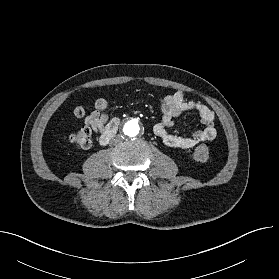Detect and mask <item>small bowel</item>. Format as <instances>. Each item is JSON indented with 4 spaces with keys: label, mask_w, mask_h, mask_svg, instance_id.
I'll return each mask as SVG.
<instances>
[{
    "label": "small bowel",
    "mask_w": 279,
    "mask_h": 279,
    "mask_svg": "<svg viewBox=\"0 0 279 279\" xmlns=\"http://www.w3.org/2000/svg\"><path fill=\"white\" fill-rule=\"evenodd\" d=\"M107 109V100L99 98L95 101L93 111L85 118L86 126L101 136L112 121L109 122ZM161 111L162 117L154 125V133L168 147L191 149L200 143L212 141L216 137L213 111L199 101L187 100L183 91L178 90L166 95L161 102ZM188 111L197 112L204 127L189 136L172 133L170 129L174 124V119Z\"/></svg>",
    "instance_id": "obj_1"
}]
</instances>
